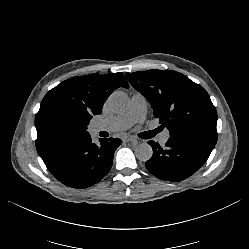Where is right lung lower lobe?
I'll use <instances>...</instances> for the list:
<instances>
[{
	"instance_id": "98d812e1",
	"label": "right lung lower lobe",
	"mask_w": 249,
	"mask_h": 249,
	"mask_svg": "<svg viewBox=\"0 0 249 249\" xmlns=\"http://www.w3.org/2000/svg\"><path fill=\"white\" fill-rule=\"evenodd\" d=\"M120 139H100L92 143L89 133L55 142L39 155L48 170L63 184L87 188L100 181L110 170Z\"/></svg>"
}]
</instances>
